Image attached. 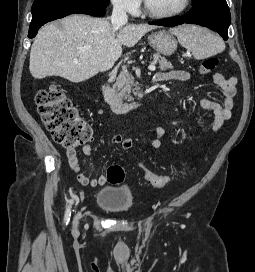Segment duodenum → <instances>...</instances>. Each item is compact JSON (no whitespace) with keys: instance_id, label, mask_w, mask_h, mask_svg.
Instances as JSON below:
<instances>
[{"instance_id":"duodenum-1","label":"duodenum","mask_w":255,"mask_h":272,"mask_svg":"<svg viewBox=\"0 0 255 272\" xmlns=\"http://www.w3.org/2000/svg\"><path fill=\"white\" fill-rule=\"evenodd\" d=\"M101 94L106 103L117 114H126L141 106L140 101L125 102L116 93H114L107 85L101 86Z\"/></svg>"}]
</instances>
